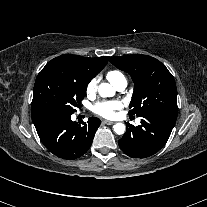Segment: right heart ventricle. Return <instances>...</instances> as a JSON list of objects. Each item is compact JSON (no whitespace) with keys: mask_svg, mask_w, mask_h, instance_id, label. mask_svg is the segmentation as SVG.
<instances>
[{"mask_svg":"<svg viewBox=\"0 0 207 207\" xmlns=\"http://www.w3.org/2000/svg\"><path fill=\"white\" fill-rule=\"evenodd\" d=\"M106 77L113 85H115L120 80H126L123 74L117 70L108 71Z\"/></svg>","mask_w":207,"mask_h":207,"instance_id":"e07e8e85","label":"right heart ventricle"}]
</instances>
